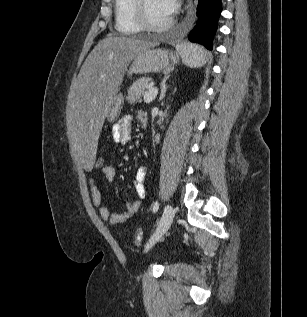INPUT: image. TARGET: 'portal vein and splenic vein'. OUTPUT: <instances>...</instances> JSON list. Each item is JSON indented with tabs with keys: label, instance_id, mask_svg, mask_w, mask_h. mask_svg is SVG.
Listing matches in <instances>:
<instances>
[{
	"label": "portal vein and splenic vein",
	"instance_id": "portal-vein-and-splenic-vein-1",
	"mask_svg": "<svg viewBox=\"0 0 307 317\" xmlns=\"http://www.w3.org/2000/svg\"><path fill=\"white\" fill-rule=\"evenodd\" d=\"M158 89L154 87L153 85H150L148 87V91L145 92L144 94V102L145 103H150L153 101V99L157 96Z\"/></svg>",
	"mask_w": 307,
	"mask_h": 317
}]
</instances>
